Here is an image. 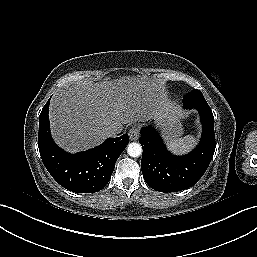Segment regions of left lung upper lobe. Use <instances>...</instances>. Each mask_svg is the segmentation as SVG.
Here are the masks:
<instances>
[{
	"label": "left lung upper lobe",
	"mask_w": 257,
	"mask_h": 257,
	"mask_svg": "<svg viewBox=\"0 0 257 257\" xmlns=\"http://www.w3.org/2000/svg\"><path fill=\"white\" fill-rule=\"evenodd\" d=\"M183 102H184L185 108H195L199 105H202V106L208 105L202 92L196 89L186 94Z\"/></svg>",
	"instance_id": "left-lung-upper-lobe-1"
}]
</instances>
